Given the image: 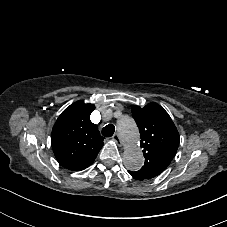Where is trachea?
Instances as JSON below:
<instances>
[{
    "mask_svg": "<svg viewBox=\"0 0 227 227\" xmlns=\"http://www.w3.org/2000/svg\"><path fill=\"white\" fill-rule=\"evenodd\" d=\"M114 132H115V127L113 124L106 125L101 131L102 135L105 137H111L114 134Z\"/></svg>",
    "mask_w": 227,
    "mask_h": 227,
    "instance_id": "obj_1",
    "label": "trachea"
}]
</instances>
